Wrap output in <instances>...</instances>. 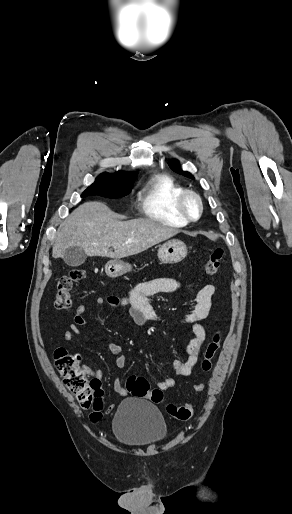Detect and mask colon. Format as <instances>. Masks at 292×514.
<instances>
[{"instance_id": "colon-1", "label": "colon", "mask_w": 292, "mask_h": 514, "mask_svg": "<svg viewBox=\"0 0 292 514\" xmlns=\"http://www.w3.org/2000/svg\"><path fill=\"white\" fill-rule=\"evenodd\" d=\"M224 257V249L217 247L210 254L204 264V272L207 275H214L220 268ZM84 278L81 270H73L68 275L61 277L57 282L55 305L60 311H67L72 306V290L74 284ZM222 337L216 332L204 348L201 368L204 372L212 369V361L220 349ZM54 361L57 372L64 378L66 387L73 393L78 403L83 408L92 407L89 413L91 420L100 419L103 410L102 388L100 380L90 378L84 371L80 356L63 348H57L54 352ZM125 387L136 399L150 400L154 403H162L164 393L161 389L152 388L144 376L131 375L125 380ZM196 391H203L204 384L197 383ZM167 413L178 419L186 420L193 415L192 404L178 405L166 403Z\"/></svg>"}]
</instances>
